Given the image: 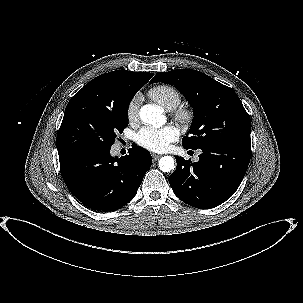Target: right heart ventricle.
<instances>
[{
	"label": "right heart ventricle",
	"instance_id": "e07e8e85",
	"mask_svg": "<svg viewBox=\"0 0 303 303\" xmlns=\"http://www.w3.org/2000/svg\"><path fill=\"white\" fill-rule=\"evenodd\" d=\"M149 97L167 111L176 109L182 101L181 94L169 85H157L148 91Z\"/></svg>",
	"mask_w": 303,
	"mask_h": 303
}]
</instances>
